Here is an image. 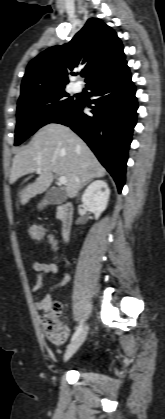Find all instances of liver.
Segmentation results:
<instances>
[{
	"mask_svg": "<svg viewBox=\"0 0 165 419\" xmlns=\"http://www.w3.org/2000/svg\"><path fill=\"white\" fill-rule=\"evenodd\" d=\"M37 168L41 171L37 172ZM33 172L39 176L19 193L22 205L45 192L52 184L54 174L67 179L65 191L70 198L78 194L83 183L106 174L94 153L77 134L54 123L42 127L29 145L14 156L10 182L13 184Z\"/></svg>",
	"mask_w": 165,
	"mask_h": 419,
	"instance_id": "6515ba94",
	"label": "liver"
}]
</instances>
